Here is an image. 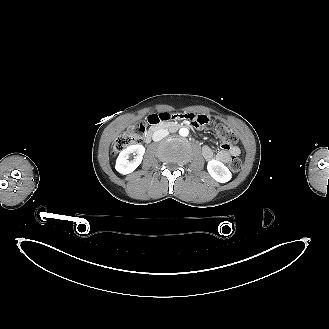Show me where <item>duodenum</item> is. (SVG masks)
Instances as JSON below:
<instances>
[{
  "label": "duodenum",
  "instance_id": "duodenum-1",
  "mask_svg": "<svg viewBox=\"0 0 329 329\" xmlns=\"http://www.w3.org/2000/svg\"><path fill=\"white\" fill-rule=\"evenodd\" d=\"M150 128L145 135V142L150 143L152 135L155 131L160 128H169V129H177L180 127L179 124L170 121L169 119H165L163 114H154L149 117Z\"/></svg>",
  "mask_w": 329,
  "mask_h": 329
}]
</instances>
